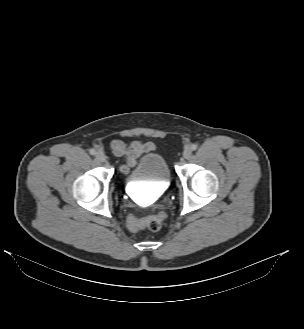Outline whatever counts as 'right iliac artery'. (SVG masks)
<instances>
[{
	"label": "right iliac artery",
	"instance_id": "right-iliac-artery-1",
	"mask_svg": "<svg viewBox=\"0 0 304 329\" xmlns=\"http://www.w3.org/2000/svg\"><path fill=\"white\" fill-rule=\"evenodd\" d=\"M89 152H90L91 155H95L96 154V151L94 149H90Z\"/></svg>",
	"mask_w": 304,
	"mask_h": 329
}]
</instances>
